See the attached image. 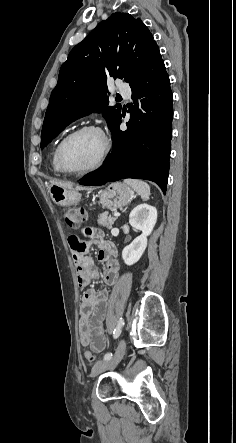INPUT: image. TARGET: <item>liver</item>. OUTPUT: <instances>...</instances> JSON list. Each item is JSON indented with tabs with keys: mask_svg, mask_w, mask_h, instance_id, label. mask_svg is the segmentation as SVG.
<instances>
[{
	"mask_svg": "<svg viewBox=\"0 0 236 443\" xmlns=\"http://www.w3.org/2000/svg\"><path fill=\"white\" fill-rule=\"evenodd\" d=\"M51 185H58V186H62L68 189H72V185L71 184H67V183H63V182H59V181H52Z\"/></svg>",
	"mask_w": 236,
	"mask_h": 443,
	"instance_id": "obj_1",
	"label": "liver"
}]
</instances>
